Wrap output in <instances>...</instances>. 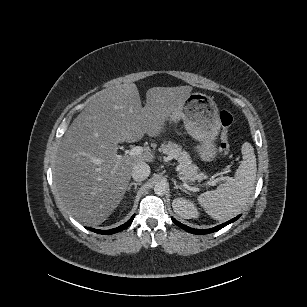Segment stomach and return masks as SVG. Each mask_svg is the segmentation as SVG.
Listing matches in <instances>:
<instances>
[{
	"label": "stomach",
	"mask_w": 307,
	"mask_h": 307,
	"mask_svg": "<svg viewBox=\"0 0 307 307\" xmlns=\"http://www.w3.org/2000/svg\"><path fill=\"white\" fill-rule=\"evenodd\" d=\"M183 121L187 133L198 141L195 150L203 161H212L218 154L216 139L221 123L215 101L203 93H191L180 112L173 113L170 123Z\"/></svg>",
	"instance_id": "obj_1"
}]
</instances>
